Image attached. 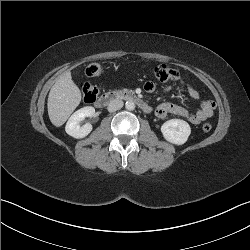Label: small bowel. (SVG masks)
<instances>
[{"label": "small bowel", "mask_w": 250, "mask_h": 250, "mask_svg": "<svg viewBox=\"0 0 250 250\" xmlns=\"http://www.w3.org/2000/svg\"><path fill=\"white\" fill-rule=\"evenodd\" d=\"M144 89L147 92H153L155 90V85L152 82H147L144 86ZM174 89V86L167 85L162 88L163 93L171 92ZM189 96L192 99H199V92L192 86L188 85L187 87ZM215 109V102L212 100H205L202 102L201 107L195 113L188 111L185 107L173 104V103H161L155 107V115L158 118H165L168 114H173L186 118L192 124H199L202 121L210 118L213 115Z\"/></svg>", "instance_id": "c3829d8e"}]
</instances>
